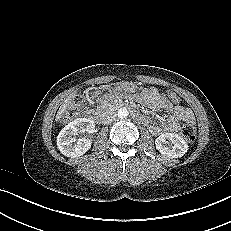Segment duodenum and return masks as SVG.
Listing matches in <instances>:
<instances>
[{"label":"duodenum","mask_w":231,"mask_h":231,"mask_svg":"<svg viewBox=\"0 0 231 231\" xmlns=\"http://www.w3.org/2000/svg\"><path fill=\"white\" fill-rule=\"evenodd\" d=\"M122 108L130 109L137 119L143 120V116L135 110L134 105L130 103H125V102H117L112 107H105V108L100 109L96 114H91V120L99 123L108 115V113L112 109H122Z\"/></svg>","instance_id":"obj_1"}]
</instances>
